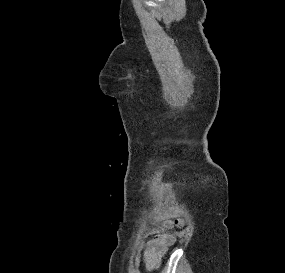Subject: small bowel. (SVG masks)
Masks as SVG:
<instances>
[{
	"label": "small bowel",
	"instance_id": "obj_1",
	"mask_svg": "<svg viewBox=\"0 0 285 273\" xmlns=\"http://www.w3.org/2000/svg\"><path fill=\"white\" fill-rule=\"evenodd\" d=\"M174 241V237L164 235L150 242L144 253L146 267L148 269L155 267L167 252L168 247L171 246Z\"/></svg>",
	"mask_w": 285,
	"mask_h": 273
}]
</instances>
